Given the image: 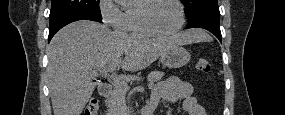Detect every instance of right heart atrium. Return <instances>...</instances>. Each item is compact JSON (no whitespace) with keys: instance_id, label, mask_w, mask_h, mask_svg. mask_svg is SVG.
Returning a JSON list of instances; mask_svg holds the SVG:
<instances>
[{"instance_id":"1","label":"right heart atrium","mask_w":285,"mask_h":115,"mask_svg":"<svg viewBox=\"0 0 285 115\" xmlns=\"http://www.w3.org/2000/svg\"><path fill=\"white\" fill-rule=\"evenodd\" d=\"M100 12L103 21L119 30H124L125 12L114 0H102Z\"/></svg>"}]
</instances>
